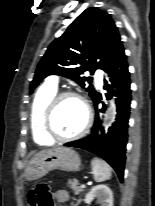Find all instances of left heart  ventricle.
Segmentation results:
<instances>
[{
	"label": "left heart ventricle",
	"instance_id": "left-heart-ventricle-1",
	"mask_svg": "<svg viewBox=\"0 0 155 206\" xmlns=\"http://www.w3.org/2000/svg\"><path fill=\"white\" fill-rule=\"evenodd\" d=\"M82 103L72 97L62 99L53 115L52 125L58 135L68 136L78 132L85 122Z\"/></svg>",
	"mask_w": 155,
	"mask_h": 206
}]
</instances>
